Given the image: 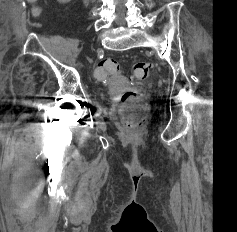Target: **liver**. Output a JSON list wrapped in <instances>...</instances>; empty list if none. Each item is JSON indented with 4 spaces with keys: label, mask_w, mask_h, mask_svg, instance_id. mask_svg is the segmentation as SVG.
Returning a JSON list of instances; mask_svg holds the SVG:
<instances>
[{
    "label": "liver",
    "mask_w": 237,
    "mask_h": 232,
    "mask_svg": "<svg viewBox=\"0 0 237 232\" xmlns=\"http://www.w3.org/2000/svg\"><path fill=\"white\" fill-rule=\"evenodd\" d=\"M29 2H35L36 0H28Z\"/></svg>",
    "instance_id": "6515ba94"
}]
</instances>
